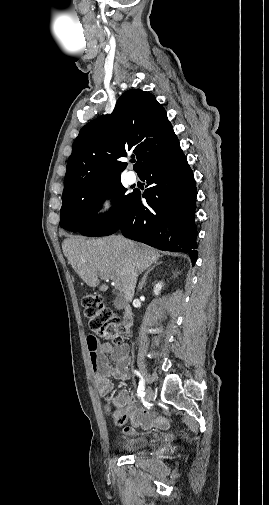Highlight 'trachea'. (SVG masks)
I'll use <instances>...</instances> for the list:
<instances>
[{
    "label": "trachea",
    "mask_w": 269,
    "mask_h": 505,
    "mask_svg": "<svg viewBox=\"0 0 269 505\" xmlns=\"http://www.w3.org/2000/svg\"><path fill=\"white\" fill-rule=\"evenodd\" d=\"M131 162H135V159H132Z\"/></svg>",
    "instance_id": "obj_1"
}]
</instances>
